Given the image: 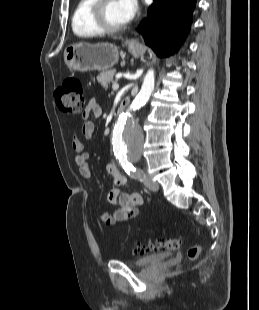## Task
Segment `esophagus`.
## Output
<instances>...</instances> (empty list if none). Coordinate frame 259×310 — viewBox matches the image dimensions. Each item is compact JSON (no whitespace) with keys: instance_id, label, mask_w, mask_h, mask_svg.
Here are the masks:
<instances>
[{"instance_id":"esophagus-1","label":"esophagus","mask_w":259,"mask_h":310,"mask_svg":"<svg viewBox=\"0 0 259 310\" xmlns=\"http://www.w3.org/2000/svg\"><path fill=\"white\" fill-rule=\"evenodd\" d=\"M129 45L130 46H132V47H135V48H138V47H140V41H139V39H131L130 41H129Z\"/></svg>"}]
</instances>
